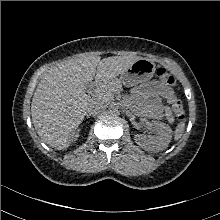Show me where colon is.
<instances>
[{
  "label": "colon",
  "mask_w": 220,
  "mask_h": 220,
  "mask_svg": "<svg viewBox=\"0 0 220 220\" xmlns=\"http://www.w3.org/2000/svg\"><path fill=\"white\" fill-rule=\"evenodd\" d=\"M156 75L160 79L161 83L172 90V86L175 80L171 74H169L164 68H159L156 71ZM167 101L170 103L172 110L178 120H183L185 117V111L180 99L172 92L167 96Z\"/></svg>",
  "instance_id": "colon-1"
}]
</instances>
